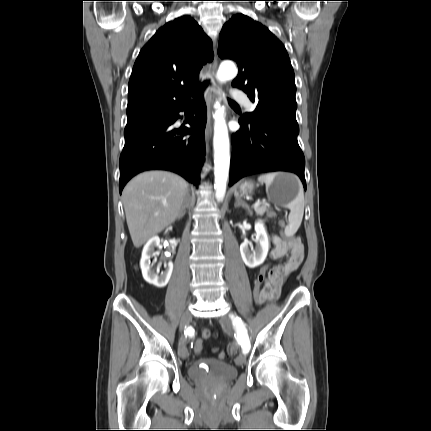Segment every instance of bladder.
<instances>
[{
    "label": "bladder",
    "mask_w": 431,
    "mask_h": 431,
    "mask_svg": "<svg viewBox=\"0 0 431 431\" xmlns=\"http://www.w3.org/2000/svg\"><path fill=\"white\" fill-rule=\"evenodd\" d=\"M188 375L195 381L222 384L234 380L238 371L227 362L207 358L195 361L189 367Z\"/></svg>",
    "instance_id": "bladder-1"
}]
</instances>
